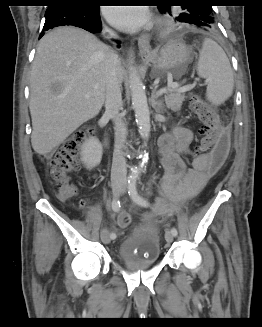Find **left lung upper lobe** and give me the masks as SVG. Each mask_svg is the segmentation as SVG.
Wrapping results in <instances>:
<instances>
[{
	"label": "left lung upper lobe",
	"mask_w": 262,
	"mask_h": 327,
	"mask_svg": "<svg viewBox=\"0 0 262 327\" xmlns=\"http://www.w3.org/2000/svg\"><path fill=\"white\" fill-rule=\"evenodd\" d=\"M187 4L173 9L172 6H159L163 16L175 27H189L203 30L215 28L214 11L210 5ZM190 3V2H189Z\"/></svg>",
	"instance_id": "obj_1"
}]
</instances>
